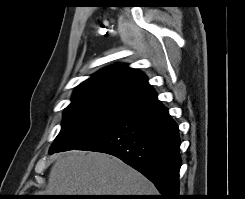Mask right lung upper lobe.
Returning a JSON list of instances; mask_svg holds the SVG:
<instances>
[{"label":"right lung upper lobe","mask_w":245,"mask_h":199,"mask_svg":"<svg viewBox=\"0 0 245 199\" xmlns=\"http://www.w3.org/2000/svg\"><path fill=\"white\" fill-rule=\"evenodd\" d=\"M158 103L143 73L127 65H113L78 85L67 108L93 106L130 115Z\"/></svg>","instance_id":"1"}]
</instances>
